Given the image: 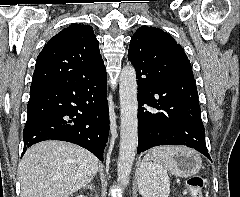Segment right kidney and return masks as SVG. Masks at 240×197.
<instances>
[{"label": "right kidney", "instance_id": "obj_1", "mask_svg": "<svg viewBox=\"0 0 240 197\" xmlns=\"http://www.w3.org/2000/svg\"><path fill=\"white\" fill-rule=\"evenodd\" d=\"M77 197H87V196H84V195H79V196H77Z\"/></svg>", "mask_w": 240, "mask_h": 197}]
</instances>
